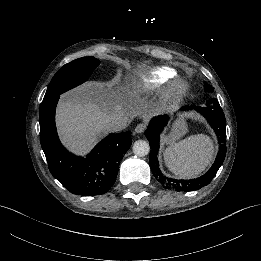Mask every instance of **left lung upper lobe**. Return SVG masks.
<instances>
[{
    "instance_id": "obj_1",
    "label": "left lung upper lobe",
    "mask_w": 261,
    "mask_h": 261,
    "mask_svg": "<svg viewBox=\"0 0 261 261\" xmlns=\"http://www.w3.org/2000/svg\"><path fill=\"white\" fill-rule=\"evenodd\" d=\"M205 89H206L207 92L213 91V88L210 85H208L207 83H205Z\"/></svg>"
}]
</instances>
